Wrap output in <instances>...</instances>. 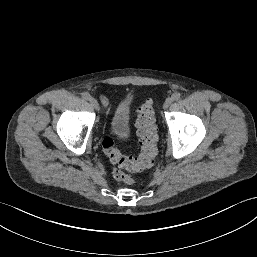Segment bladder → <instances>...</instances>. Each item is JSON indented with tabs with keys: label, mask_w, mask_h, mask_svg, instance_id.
Segmentation results:
<instances>
[{
	"label": "bladder",
	"mask_w": 257,
	"mask_h": 257,
	"mask_svg": "<svg viewBox=\"0 0 257 257\" xmlns=\"http://www.w3.org/2000/svg\"><path fill=\"white\" fill-rule=\"evenodd\" d=\"M132 100L129 96L123 97L114 109L110 126L115 136L122 138L126 136L131 127Z\"/></svg>",
	"instance_id": "bladder-1"
}]
</instances>
